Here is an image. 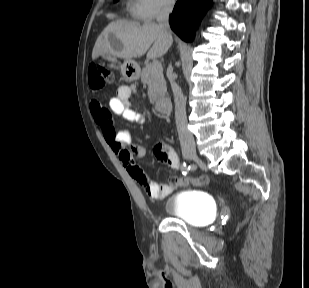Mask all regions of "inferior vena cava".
<instances>
[{
  "mask_svg": "<svg viewBox=\"0 0 309 288\" xmlns=\"http://www.w3.org/2000/svg\"><path fill=\"white\" fill-rule=\"evenodd\" d=\"M174 7V0H166L159 15L157 16L158 25L163 29L164 34L168 38L171 37V31L169 26V15ZM168 71L172 72V67L169 66ZM169 81L174 95L175 103V120L179 140L181 145L194 144V137L187 129V116H186V102L182 94L181 88L176 84L172 73L169 76Z\"/></svg>",
  "mask_w": 309,
  "mask_h": 288,
  "instance_id": "inferior-vena-cava-1",
  "label": "inferior vena cava"
}]
</instances>
